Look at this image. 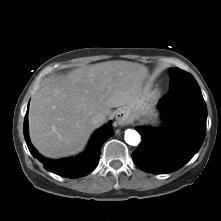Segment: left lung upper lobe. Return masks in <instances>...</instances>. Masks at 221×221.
I'll return each instance as SVG.
<instances>
[{
  "label": "left lung upper lobe",
  "mask_w": 221,
  "mask_h": 221,
  "mask_svg": "<svg viewBox=\"0 0 221 221\" xmlns=\"http://www.w3.org/2000/svg\"><path fill=\"white\" fill-rule=\"evenodd\" d=\"M169 71H170V78H171L170 83H169V88L174 86L179 81L194 78L191 74L183 70H180L179 68H170Z\"/></svg>",
  "instance_id": "left-lung-upper-lobe-1"
}]
</instances>
